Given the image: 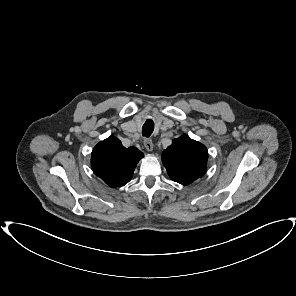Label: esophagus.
Returning a JSON list of instances; mask_svg holds the SVG:
<instances>
[{
	"label": "esophagus",
	"instance_id": "34e87169",
	"mask_svg": "<svg viewBox=\"0 0 296 296\" xmlns=\"http://www.w3.org/2000/svg\"><path fill=\"white\" fill-rule=\"evenodd\" d=\"M144 146L147 149V151H152L153 150V142L151 139H145L144 140Z\"/></svg>",
	"mask_w": 296,
	"mask_h": 296
}]
</instances>
